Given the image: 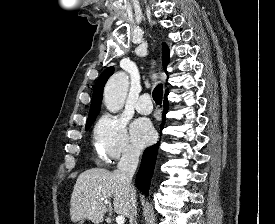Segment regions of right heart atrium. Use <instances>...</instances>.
<instances>
[{"label": "right heart atrium", "instance_id": "obj_1", "mask_svg": "<svg viewBox=\"0 0 275 224\" xmlns=\"http://www.w3.org/2000/svg\"><path fill=\"white\" fill-rule=\"evenodd\" d=\"M93 139L97 151L109 163L139 156V150L128 136L127 121L123 117L111 114L101 116L94 128Z\"/></svg>", "mask_w": 275, "mask_h": 224}]
</instances>
